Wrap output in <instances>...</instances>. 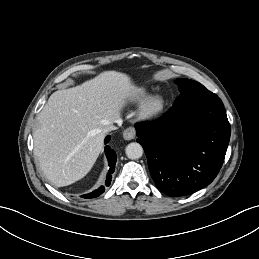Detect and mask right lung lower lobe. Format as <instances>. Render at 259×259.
<instances>
[{"instance_id":"right-lung-lower-lobe-1","label":"right lung lower lobe","mask_w":259,"mask_h":259,"mask_svg":"<svg viewBox=\"0 0 259 259\" xmlns=\"http://www.w3.org/2000/svg\"><path fill=\"white\" fill-rule=\"evenodd\" d=\"M109 140H110V136H107L105 138V144L108 143ZM105 153H106V156H107V159L109 162V167H110L109 173L107 174V180H106V186H109L110 182H111V178H112L111 173L114 172V168H115L116 153L109 146L105 147ZM104 190H105L104 186H101L98 190H95L94 192H92L90 194L83 195L82 197L94 198V197L99 196L101 193H103Z\"/></svg>"}]
</instances>
